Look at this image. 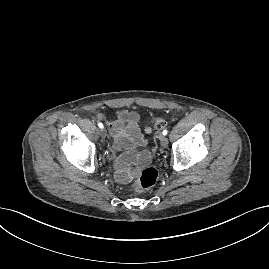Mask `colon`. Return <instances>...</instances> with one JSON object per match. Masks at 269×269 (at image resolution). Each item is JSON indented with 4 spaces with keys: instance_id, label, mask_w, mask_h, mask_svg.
Here are the masks:
<instances>
[{
    "instance_id": "1",
    "label": "colon",
    "mask_w": 269,
    "mask_h": 269,
    "mask_svg": "<svg viewBox=\"0 0 269 269\" xmlns=\"http://www.w3.org/2000/svg\"><path fill=\"white\" fill-rule=\"evenodd\" d=\"M166 125V122L161 117H156L153 121V126L148 127L147 131L150 132L152 129L159 130L163 128ZM158 179V172L153 167H147L143 169L137 180L134 183V188L136 190H145L153 187L156 184V181Z\"/></svg>"
}]
</instances>
